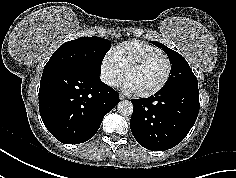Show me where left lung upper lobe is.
Returning a JSON list of instances; mask_svg holds the SVG:
<instances>
[{"instance_id": "1", "label": "left lung upper lobe", "mask_w": 236, "mask_h": 178, "mask_svg": "<svg viewBox=\"0 0 236 178\" xmlns=\"http://www.w3.org/2000/svg\"><path fill=\"white\" fill-rule=\"evenodd\" d=\"M155 46L162 48L169 57L171 67V75L164 87L171 86H198L197 78L192 72L187 61L176 51L169 49L165 45L151 41Z\"/></svg>"}]
</instances>
